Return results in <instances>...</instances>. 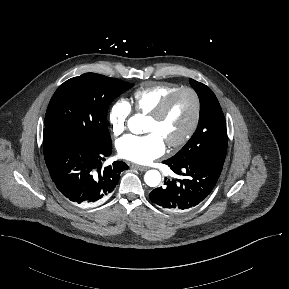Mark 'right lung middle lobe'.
<instances>
[{"label":"right lung middle lobe","mask_w":289,"mask_h":289,"mask_svg":"<svg viewBox=\"0 0 289 289\" xmlns=\"http://www.w3.org/2000/svg\"><path fill=\"white\" fill-rule=\"evenodd\" d=\"M131 87L133 84L95 73H85L64 82L46 111L43 149L68 142L93 148L110 145L107 108Z\"/></svg>","instance_id":"obj_1"}]
</instances>
